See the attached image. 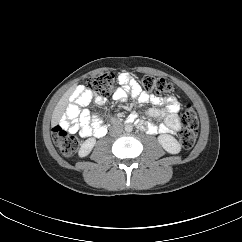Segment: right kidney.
Instances as JSON below:
<instances>
[{
    "label": "right kidney",
    "mask_w": 242,
    "mask_h": 242,
    "mask_svg": "<svg viewBox=\"0 0 242 242\" xmlns=\"http://www.w3.org/2000/svg\"><path fill=\"white\" fill-rule=\"evenodd\" d=\"M96 141L94 138H89L87 139L81 146L80 150H79V156L80 157H85L87 156L92 148L94 147Z\"/></svg>",
    "instance_id": "1"
}]
</instances>
